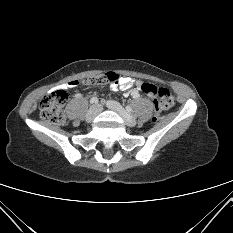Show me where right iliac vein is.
<instances>
[{"label": "right iliac vein", "mask_w": 233, "mask_h": 233, "mask_svg": "<svg viewBox=\"0 0 233 233\" xmlns=\"http://www.w3.org/2000/svg\"><path fill=\"white\" fill-rule=\"evenodd\" d=\"M100 111H101L100 105L91 106L86 114V121L92 122L94 118L99 114Z\"/></svg>", "instance_id": "obj_1"}]
</instances>
